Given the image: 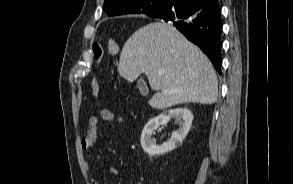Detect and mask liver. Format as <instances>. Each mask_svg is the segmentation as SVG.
Masks as SVG:
<instances>
[{
    "mask_svg": "<svg viewBox=\"0 0 293 184\" xmlns=\"http://www.w3.org/2000/svg\"><path fill=\"white\" fill-rule=\"evenodd\" d=\"M118 72L130 82L145 73L156 91L149 101L155 109L217 101L218 80L212 63L165 22L147 24L133 33L122 48Z\"/></svg>",
    "mask_w": 293,
    "mask_h": 184,
    "instance_id": "obj_1",
    "label": "liver"
}]
</instances>
